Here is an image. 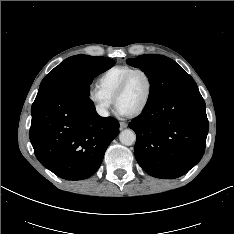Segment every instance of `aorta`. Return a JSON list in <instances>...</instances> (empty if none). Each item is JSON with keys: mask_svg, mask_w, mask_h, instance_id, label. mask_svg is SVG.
<instances>
[{"mask_svg": "<svg viewBox=\"0 0 234 234\" xmlns=\"http://www.w3.org/2000/svg\"><path fill=\"white\" fill-rule=\"evenodd\" d=\"M119 140L123 145L130 146L136 141V134L131 129H125L119 134Z\"/></svg>", "mask_w": 234, "mask_h": 234, "instance_id": "762f6f07", "label": "aorta"}]
</instances>
